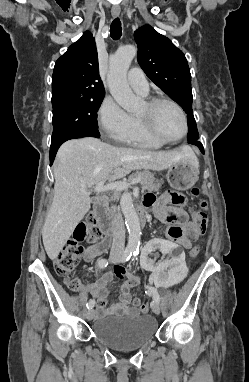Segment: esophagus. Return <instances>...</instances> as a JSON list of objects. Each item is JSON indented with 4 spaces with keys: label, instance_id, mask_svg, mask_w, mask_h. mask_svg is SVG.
<instances>
[{
    "label": "esophagus",
    "instance_id": "1",
    "mask_svg": "<svg viewBox=\"0 0 249 382\" xmlns=\"http://www.w3.org/2000/svg\"><path fill=\"white\" fill-rule=\"evenodd\" d=\"M120 7L119 6H113L112 9H111V13H112V16L113 17H118L119 14H120Z\"/></svg>",
    "mask_w": 249,
    "mask_h": 382
}]
</instances>
